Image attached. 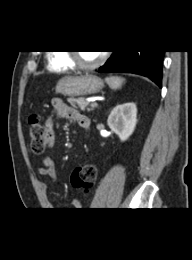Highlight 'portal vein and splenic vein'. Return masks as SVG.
<instances>
[{"label": "portal vein and splenic vein", "instance_id": "18ae733b", "mask_svg": "<svg viewBox=\"0 0 192 260\" xmlns=\"http://www.w3.org/2000/svg\"><path fill=\"white\" fill-rule=\"evenodd\" d=\"M91 107H97L98 106V104L96 103V102H94V103H91V105H90Z\"/></svg>", "mask_w": 192, "mask_h": 260}]
</instances>
